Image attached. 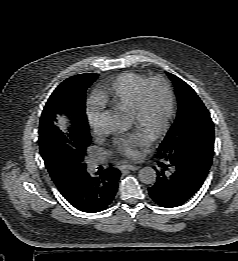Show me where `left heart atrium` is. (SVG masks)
<instances>
[{
	"mask_svg": "<svg viewBox=\"0 0 238 261\" xmlns=\"http://www.w3.org/2000/svg\"><path fill=\"white\" fill-rule=\"evenodd\" d=\"M152 134L137 129L113 141L117 151L129 158H137L140 154L139 149L150 143Z\"/></svg>",
	"mask_w": 238,
	"mask_h": 261,
	"instance_id": "1",
	"label": "left heart atrium"
}]
</instances>
